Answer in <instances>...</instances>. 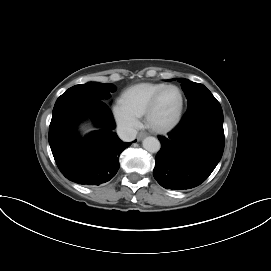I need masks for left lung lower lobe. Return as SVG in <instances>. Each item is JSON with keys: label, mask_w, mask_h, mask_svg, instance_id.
<instances>
[{"label": "left lung lower lobe", "mask_w": 271, "mask_h": 271, "mask_svg": "<svg viewBox=\"0 0 271 271\" xmlns=\"http://www.w3.org/2000/svg\"><path fill=\"white\" fill-rule=\"evenodd\" d=\"M154 178L166 189L183 190L205 181L224 150L223 111L216 99L188 108L180 124L159 137Z\"/></svg>", "instance_id": "left-lung-lower-lobe-1"}]
</instances>
